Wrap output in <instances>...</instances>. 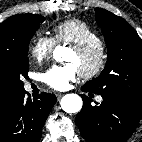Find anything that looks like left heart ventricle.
Masks as SVG:
<instances>
[{"label":"left heart ventricle","instance_id":"b2bd125f","mask_svg":"<svg viewBox=\"0 0 142 142\" xmlns=\"http://www.w3.org/2000/svg\"><path fill=\"white\" fill-rule=\"evenodd\" d=\"M66 61L77 66L78 69L86 67L89 65V62L82 60L74 50H71L66 57Z\"/></svg>","mask_w":142,"mask_h":142}]
</instances>
